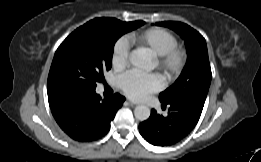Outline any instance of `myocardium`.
Here are the masks:
<instances>
[{
    "mask_svg": "<svg viewBox=\"0 0 261 162\" xmlns=\"http://www.w3.org/2000/svg\"><path fill=\"white\" fill-rule=\"evenodd\" d=\"M186 62V52L177 46L169 49L161 55L156 56L157 67L168 79L178 77L184 70Z\"/></svg>",
    "mask_w": 261,
    "mask_h": 162,
    "instance_id": "myocardium-1",
    "label": "myocardium"
}]
</instances>
